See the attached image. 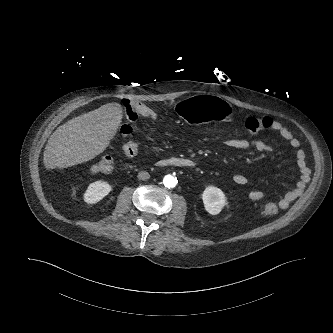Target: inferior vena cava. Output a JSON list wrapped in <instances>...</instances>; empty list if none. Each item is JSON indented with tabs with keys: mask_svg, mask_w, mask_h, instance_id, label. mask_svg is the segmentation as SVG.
I'll list each match as a JSON object with an SVG mask.
<instances>
[{
	"mask_svg": "<svg viewBox=\"0 0 333 333\" xmlns=\"http://www.w3.org/2000/svg\"><path fill=\"white\" fill-rule=\"evenodd\" d=\"M138 179L140 180H148L150 178V175L146 171H140L137 175Z\"/></svg>",
	"mask_w": 333,
	"mask_h": 333,
	"instance_id": "inferior-vena-cava-1",
	"label": "inferior vena cava"
}]
</instances>
